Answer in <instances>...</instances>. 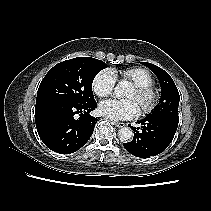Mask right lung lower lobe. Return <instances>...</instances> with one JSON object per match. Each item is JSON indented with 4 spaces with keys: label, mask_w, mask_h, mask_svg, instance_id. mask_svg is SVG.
I'll return each instance as SVG.
<instances>
[{
    "label": "right lung lower lobe",
    "mask_w": 211,
    "mask_h": 211,
    "mask_svg": "<svg viewBox=\"0 0 211 211\" xmlns=\"http://www.w3.org/2000/svg\"><path fill=\"white\" fill-rule=\"evenodd\" d=\"M96 101L85 105L45 102L35 107V122L43 143L52 151L70 154L91 137L97 118L89 113Z\"/></svg>",
    "instance_id": "98d812e1"
}]
</instances>
